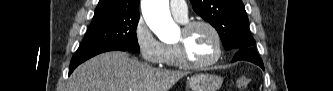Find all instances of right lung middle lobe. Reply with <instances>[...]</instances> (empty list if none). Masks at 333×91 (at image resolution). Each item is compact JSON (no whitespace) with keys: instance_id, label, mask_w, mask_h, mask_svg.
<instances>
[{"instance_id":"right-lung-middle-lobe-1","label":"right lung middle lobe","mask_w":333,"mask_h":91,"mask_svg":"<svg viewBox=\"0 0 333 91\" xmlns=\"http://www.w3.org/2000/svg\"><path fill=\"white\" fill-rule=\"evenodd\" d=\"M138 21L139 14L107 15L93 18L81 47L117 46L128 51L138 52L139 45L136 35Z\"/></svg>"}]
</instances>
